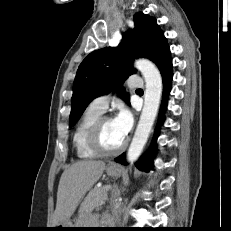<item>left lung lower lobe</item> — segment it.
I'll return each mask as SVG.
<instances>
[{
    "instance_id": "obj_1",
    "label": "left lung lower lobe",
    "mask_w": 231,
    "mask_h": 231,
    "mask_svg": "<svg viewBox=\"0 0 231 231\" xmlns=\"http://www.w3.org/2000/svg\"><path fill=\"white\" fill-rule=\"evenodd\" d=\"M157 67L159 68L162 78H163V100L161 103L159 120H158V128L164 121V113L167 107V97L171 89V81H172V59L170 55V48L165 41L161 47L159 48L157 54L155 55L154 59L152 60ZM157 128V131H158ZM157 150L156 144V135L154 137L153 143L148 150V152L135 164L136 167L140 170L149 171L153 169V155ZM115 161L126 165L125 162V153L121 154Z\"/></svg>"
}]
</instances>
